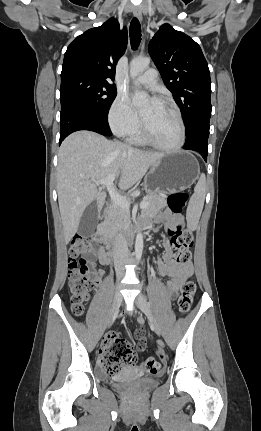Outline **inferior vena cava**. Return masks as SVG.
Returning <instances> with one entry per match:
<instances>
[{"label": "inferior vena cava", "mask_w": 261, "mask_h": 431, "mask_svg": "<svg viewBox=\"0 0 261 431\" xmlns=\"http://www.w3.org/2000/svg\"><path fill=\"white\" fill-rule=\"evenodd\" d=\"M128 254L127 241L123 233H118L114 239V258L115 260H124ZM117 276L123 275V265L117 264L115 267Z\"/></svg>", "instance_id": "obj_1"}]
</instances>
